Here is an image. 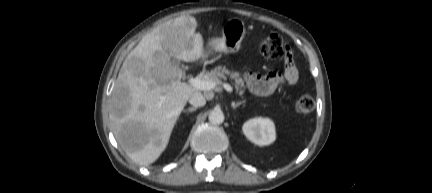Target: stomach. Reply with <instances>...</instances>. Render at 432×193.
<instances>
[{
    "label": "stomach",
    "mask_w": 432,
    "mask_h": 193,
    "mask_svg": "<svg viewBox=\"0 0 432 193\" xmlns=\"http://www.w3.org/2000/svg\"><path fill=\"white\" fill-rule=\"evenodd\" d=\"M246 30L244 23L237 19L228 20L223 29L222 37L213 38L207 44L205 56L210 55L213 51L234 53L239 50L241 42L244 39Z\"/></svg>",
    "instance_id": "0dacf381"
}]
</instances>
